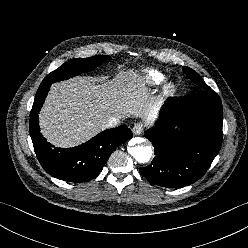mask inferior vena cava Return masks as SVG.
Returning a JSON list of instances; mask_svg holds the SVG:
<instances>
[{
  "instance_id": "1",
  "label": "inferior vena cava",
  "mask_w": 248,
  "mask_h": 248,
  "mask_svg": "<svg viewBox=\"0 0 248 248\" xmlns=\"http://www.w3.org/2000/svg\"><path fill=\"white\" fill-rule=\"evenodd\" d=\"M120 123H121L120 117L111 116L106 120L104 127L105 128H112V127L118 126Z\"/></svg>"
}]
</instances>
